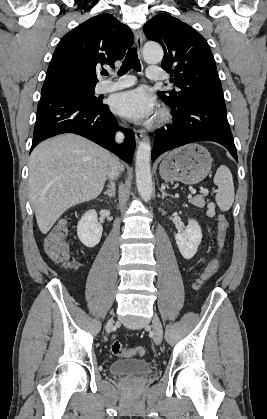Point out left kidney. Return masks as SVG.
<instances>
[{
	"label": "left kidney",
	"mask_w": 267,
	"mask_h": 419,
	"mask_svg": "<svg viewBox=\"0 0 267 419\" xmlns=\"http://www.w3.org/2000/svg\"><path fill=\"white\" fill-rule=\"evenodd\" d=\"M175 239L181 255L185 259H191L196 254L202 240L201 227L196 220L189 219L185 230L177 233Z\"/></svg>",
	"instance_id": "5707ae66"
}]
</instances>
